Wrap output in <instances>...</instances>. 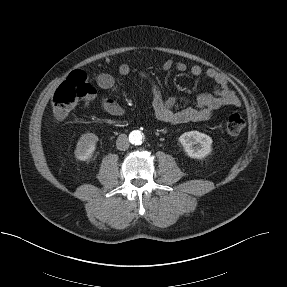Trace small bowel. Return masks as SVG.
I'll list each match as a JSON object with an SVG mask.
<instances>
[{
    "label": "small bowel",
    "instance_id": "c3829d8e",
    "mask_svg": "<svg viewBox=\"0 0 287 287\" xmlns=\"http://www.w3.org/2000/svg\"><path fill=\"white\" fill-rule=\"evenodd\" d=\"M162 68L165 71L176 69L179 72H185L189 69L194 76L205 75L214 84L213 94L199 95L193 104L184 106L182 109H175L179 101L176 97L171 96L164 98L160 86L153 81L146 72H140V76L147 79L151 84L152 106L154 117L163 123L184 124L188 122H200L209 120L214 112L223 107H239L241 102L233 90L230 89L226 78L217 70L208 68L203 70L199 65H193L190 68L183 62H174L167 59L163 62ZM131 72L128 64L119 66V74L126 76ZM97 85L107 91H115V79L108 73H100L96 76ZM184 102V100H181ZM103 111L112 116H121L124 113L122 106L110 96H104L101 100Z\"/></svg>",
    "mask_w": 287,
    "mask_h": 287
}]
</instances>
